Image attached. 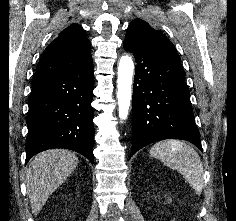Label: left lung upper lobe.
<instances>
[{"mask_svg": "<svg viewBox=\"0 0 236 221\" xmlns=\"http://www.w3.org/2000/svg\"><path fill=\"white\" fill-rule=\"evenodd\" d=\"M126 37H134L146 45L163 51L180 60L173 43L161 31L152 28L146 21L133 20L129 26Z\"/></svg>", "mask_w": 236, "mask_h": 221, "instance_id": "5c2ea615", "label": "left lung upper lobe"}]
</instances>
